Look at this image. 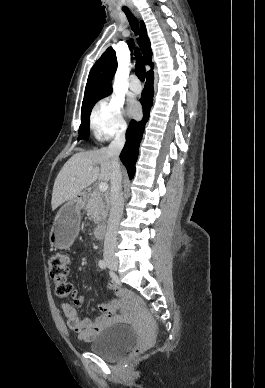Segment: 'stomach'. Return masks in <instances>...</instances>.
Instances as JSON below:
<instances>
[{
    "label": "stomach",
    "mask_w": 265,
    "mask_h": 388,
    "mask_svg": "<svg viewBox=\"0 0 265 388\" xmlns=\"http://www.w3.org/2000/svg\"><path fill=\"white\" fill-rule=\"evenodd\" d=\"M82 206L83 200L76 197L60 208L49 236L52 246L59 249L70 247L79 231Z\"/></svg>",
    "instance_id": "obj_1"
}]
</instances>
